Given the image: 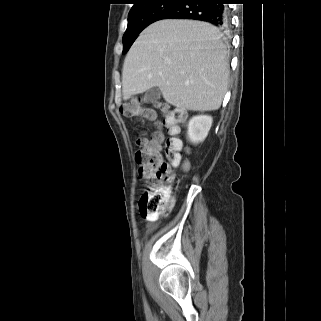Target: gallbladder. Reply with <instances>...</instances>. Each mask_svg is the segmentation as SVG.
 <instances>
[{"instance_id": "1", "label": "gallbladder", "mask_w": 321, "mask_h": 321, "mask_svg": "<svg viewBox=\"0 0 321 321\" xmlns=\"http://www.w3.org/2000/svg\"><path fill=\"white\" fill-rule=\"evenodd\" d=\"M161 91L158 87H152L149 89L144 96V100L147 103H155L160 99Z\"/></svg>"}]
</instances>
